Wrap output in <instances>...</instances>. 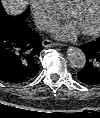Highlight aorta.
<instances>
[{
	"mask_svg": "<svg viewBox=\"0 0 100 118\" xmlns=\"http://www.w3.org/2000/svg\"><path fill=\"white\" fill-rule=\"evenodd\" d=\"M67 58L74 68L82 69L86 64L84 52L77 47H69L67 49Z\"/></svg>",
	"mask_w": 100,
	"mask_h": 118,
	"instance_id": "obj_1",
	"label": "aorta"
}]
</instances>
